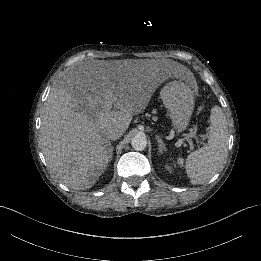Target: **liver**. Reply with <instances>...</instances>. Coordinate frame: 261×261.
Here are the masks:
<instances>
[{"instance_id":"obj_1","label":"liver","mask_w":261,"mask_h":261,"mask_svg":"<svg viewBox=\"0 0 261 261\" xmlns=\"http://www.w3.org/2000/svg\"><path fill=\"white\" fill-rule=\"evenodd\" d=\"M164 81L149 64L86 62L69 69L51 89L41 119L39 139L53 177L74 190L94 186L110 161L107 132H126Z\"/></svg>"}]
</instances>
